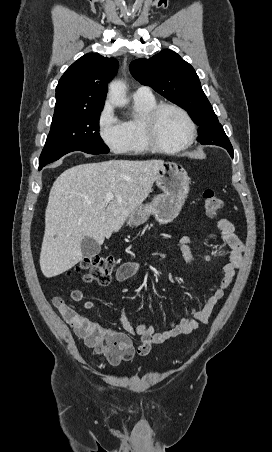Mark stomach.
Wrapping results in <instances>:
<instances>
[{"instance_id":"obj_1","label":"stomach","mask_w":272,"mask_h":452,"mask_svg":"<svg viewBox=\"0 0 272 452\" xmlns=\"http://www.w3.org/2000/svg\"><path fill=\"white\" fill-rule=\"evenodd\" d=\"M154 181L162 193L150 203L137 206L128 215L127 225H142L151 215L160 224H168L179 215L189 193L190 178L186 170L177 163L163 162Z\"/></svg>"}]
</instances>
